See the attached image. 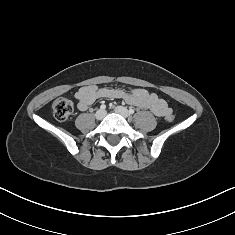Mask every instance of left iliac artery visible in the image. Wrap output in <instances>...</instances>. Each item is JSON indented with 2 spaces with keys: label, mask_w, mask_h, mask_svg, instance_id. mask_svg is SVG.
I'll list each match as a JSON object with an SVG mask.
<instances>
[{
  "label": "left iliac artery",
  "mask_w": 235,
  "mask_h": 235,
  "mask_svg": "<svg viewBox=\"0 0 235 235\" xmlns=\"http://www.w3.org/2000/svg\"><path fill=\"white\" fill-rule=\"evenodd\" d=\"M128 112H129V114H134L135 111H134V109H129Z\"/></svg>",
  "instance_id": "left-iliac-artery-1"
}]
</instances>
